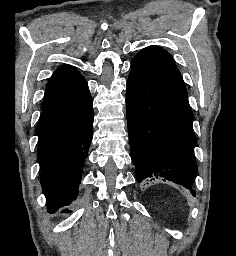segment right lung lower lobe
<instances>
[{
  "mask_svg": "<svg viewBox=\"0 0 236 256\" xmlns=\"http://www.w3.org/2000/svg\"><path fill=\"white\" fill-rule=\"evenodd\" d=\"M92 104L84 81L43 107L36 133L40 179L50 213L77 197L92 140Z\"/></svg>",
  "mask_w": 236,
  "mask_h": 256,
  "instance_id": "98d812e1",
  "label": "right lung lower lobe"
}]
</instances>
